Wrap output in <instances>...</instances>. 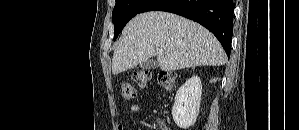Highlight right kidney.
Segmentation results:
<instances>
[{"instance_id":"ca27d5eb","label":"right kidney","mask_w":299,"mask_h":130,"mask_svg":"<svg viewBox=\"0 0 299 130\" xmlns=\"http://www.w3.org/2000/svg\"><path fill=\"white\" fill-rule=\"evenodd\" d=\"M202 94L201 80L198 76L189 78L176 93L172 116L175 124L186 129L197 119Z\"/></svg>"}]
</instances>
